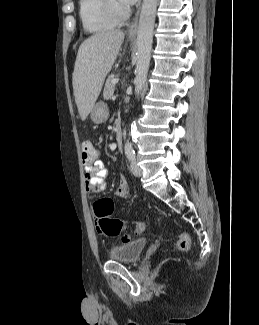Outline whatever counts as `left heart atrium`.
I'll return each instance as SVG.
<instances>
[{"mask_svg":"<svg viewBox=\"0 0 259 325\" xmlns=\"http://www.w3.org/2000/svg\"><path fill=\"white\" fill-rule=\"evenodd\" d=\"M124 5L134 4L137 0H121Z\"/></svg>","mask_w":259,"mask_h":325,"instance_id":"left-heart-atrium-1","label":"left heart atrium"}]
</instances>
